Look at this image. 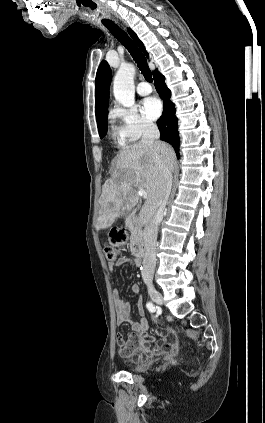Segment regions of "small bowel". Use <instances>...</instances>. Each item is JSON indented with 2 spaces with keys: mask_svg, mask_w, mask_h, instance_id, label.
Returning a JSON list of instances; mask_svg holds the SVG:
<instances>
[{
  "mask_svg": "<svg viewBox=\"0 0 265 423\" xmlns=\"http://www.w3.org/2000/svg\"><path fill=\"white\" fill-rule=\"evenodd\" d=\"M140 265L136 260L132 261L126 257H119L109 262V269L112 271L123 265ZM131 291L134 294H140V286L133 284ZM113 302L116 313V324L118 326L129 323L132 333L126 339L118 335L117 343L120 347V355L131 359L135 363L142 362L156 356L170 357L174 355L179 347V339L174 331H157L155 334H149L148 321L145 318V310L142 305V299L137 301L138 320L131 316V304L122 299L118 291L113 292ZM152 320L156 321V315L152 314Z\"/></svg>",
  "mask_w": 265,
  "mask_h": 423,
  "instance_id": "small-bowel-1",
  "label": "small bowel"
}]
</instances>
